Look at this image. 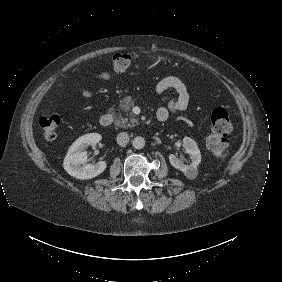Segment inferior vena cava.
Returning a JSON list of instances; mask_svg holds the SVG:
<instances>
[{"label":"inferior vena cava","instance_id":"inferior-vena-cava-1","mask_svg":"<svg viewBox=\"0 0 282 282\" xmlns=\"http://www.w3.org/2000/svg\"><path fill=\"white\" fill-rule=\"evenodd\" d=\"M129 142V134L127 132H120L117 135V143L121 146L127 145Z\"/></svg>","mask_w":282,"mask_h":282}]
</instances>
